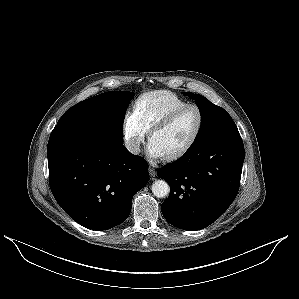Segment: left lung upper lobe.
I'll list each match as a JSON object with an SVG mask.
<instances>
[{"mask_svg":"<svg viewBox=\"0 0 299 299\" xmlns=\"http://www.w3.org/2000/svg\"><path fill=\"white\" fill-rule=\"evenodd\" d=\"M183 94L196 101L201 114V126L190 148L201 145L211 135L233 122L223 108L211 103L207 98L190 92H183Z\"/></svg>","mask_w":299,"mask_h":299,"instance_id":"5c2ea615","label":"left lung upper lobe"}]
</instances>
